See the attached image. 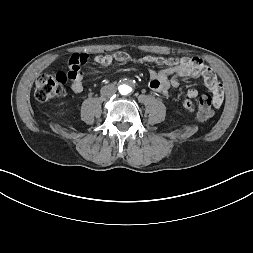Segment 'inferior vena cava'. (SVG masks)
I'll list each match as a JSON object with an SVG mask.
<instances>
[{"instance_id":"inferior-vena-cava-1","label":"inferior vena cava","mask_w":253,"mask_h":253,"mask_svg":"<svg viewBox=\"0 0 253 253\" xmlns=\"http://www.w3.org/2000/svg\"><path fill=\"white\" fill-rule=\"evenodd\" d=\"M117 91V88L113 84L106 85L101 88V95L105 97H111Z\"/></svg>"}]
</instances>
